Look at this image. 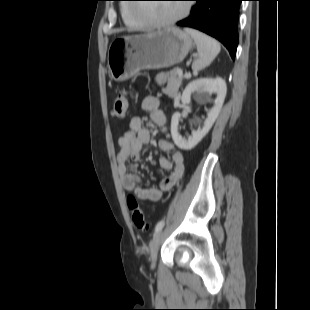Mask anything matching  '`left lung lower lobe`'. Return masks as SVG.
Segmentation results:
<instances>
[{"label":"left lung lower lobe","mask_w":310,"mask_h":310,"mask_svg":"<svg viewBox=\"0 0 310 310\" xmlns=\"http://www.w3.org/2000/svg\"><path fill=\"white\" fill-rule=\"evenodd\" d=\"M191 15L178 26L198 29L219 40L232 58L238 45L239 7L243 0H192Z\"/></svg>","instance_id":"0a47b994"}]
</instances>
